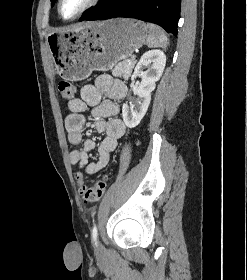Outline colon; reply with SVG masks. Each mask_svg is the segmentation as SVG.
Wrapping results in <instances>:
<instances>
[{
    "mask_svg": "<svg viewBox=\"0 0 247 280\" xmlns=\"http://www.w3.org/2000/svg\"><path fill=\"white\" fill-rule=\"evenodd\" d=\"M59 91L61 93V96L65 100H69V101L73 100V98L75 96V87L69 81H61L59 83ZM77 178L80 181L82 180V176L77 175ZM107 181H108V176L105 175L102 178H100L98 181H96L94 185H92L90 187H88L84 184H81L80 193H81L82 197L86 201H96V200L100 199L103 196L104 191L106 189Z\"/></svg>",
    "mask_w": 247,
    "mask_h": 280,
    "instance_id": "obj_1",
    "label": "colon"
}]
</instances>
